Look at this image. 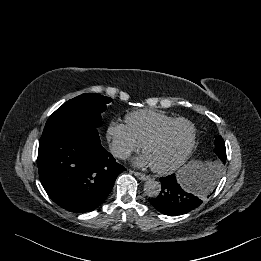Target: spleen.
I'll use <instances>...</instances> for the list:
<instances>
[{"label":"spleen","mask_w":261,"mask_h":261,"mask_svg":"<svg viewBox=\"0 0 261 261\" xmlns=\"http://www.w3.org/2000/svg\"><path fill=\"white\" fill-rule=\"evenodd\" d=\"M203 166H204L203 163L195 162V163L188 164L185 168L181 169L180 173L178 174L181 177L180 180L181 184L185 188H189L191 186V183L195 175L198 173V171L201 168H203Z\"/></svg>","instance_id":"obj_1"}]
</instances>
